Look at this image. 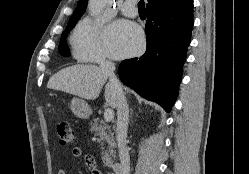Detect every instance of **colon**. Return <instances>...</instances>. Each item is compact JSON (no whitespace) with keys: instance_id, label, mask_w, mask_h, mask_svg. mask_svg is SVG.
<instances>
[{"instance_id":"5ec220e1","label":"colon","mask_w":249,"mask_h":174,"mask_svg":"<svg viewBox=\"0 0 249 174\" xmlns=\"http://www.w3.org/2000/svg\"><path fill=\"white\" fill-rule=\"evenodd\" d=\"M59 143L62 146H68L74 141V132L67 122H59L56 127Z\"/></svg>"}]
</instances>
